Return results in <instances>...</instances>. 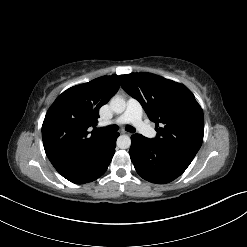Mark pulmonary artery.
Returning <instances> with one entry per match:
<instances>
[{
  "instance_id": "1",
  "label": "pulmonary artery",
  "mask_w": 247,
  "mask_h": 247,
  "mask_svg": "<svg viewBox=\"0 0 247 247\" xmlns=\"http://www.w3.org/2000/svg\"><path fill=\"white\" fill-rule=\"evenodd\" d=\"M143 109L141 104L133 98L128 99L127 107L123 114L116 118L113 123L133 124L136 129L146 137H154V129L142 120Z\"/></svg>"
}]
</instances>
